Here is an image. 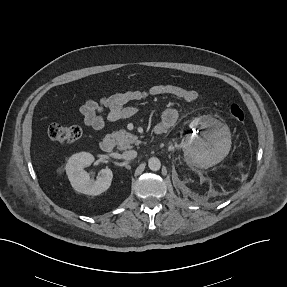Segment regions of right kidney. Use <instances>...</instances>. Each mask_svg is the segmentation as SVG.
I'll list each match as a JSON object with an SVG mask.
<instances>
[{
  "mask_svg": "<svg viewBox=\"0 0 287 287\" xmlns=\"http://www.w3.org/2000/svg\"><path fill=\"white\" fill-rule=\"evenodd\" d=\"M94 156L88 152L72 155L66 164V173L73 189L86 195H100L111 185L113 173L109 168L101 170L96 180H91L84 168L94 162Z\"/></svg>",
  "mask_w": 287,
  "mask_h": 287,
  "instance_id": "obj_1",
  "label": "right kidney"
}]
</instances>
